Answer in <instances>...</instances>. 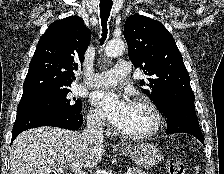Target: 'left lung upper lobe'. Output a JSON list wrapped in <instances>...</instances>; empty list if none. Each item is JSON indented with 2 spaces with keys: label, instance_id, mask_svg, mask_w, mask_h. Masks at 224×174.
<instances>
[{
  "label": "left lung upper lobe",
  "instance_id": "obj_1",
  "mask_svg": "<svg viewBox=\"0 0 224 174\" xmlns=\"http://www.w3.org/2000/svg\"><path fill=\"white\" fill-rule=\"evenodd\" d=\"M124 37L135 67L148 76L143 92L164 114L176 100H195L178 47L162 23L142 15L126 20Z\"/></svg>",
  "mask_w": 224,
  "mask_h": 174
}]
</instances>
